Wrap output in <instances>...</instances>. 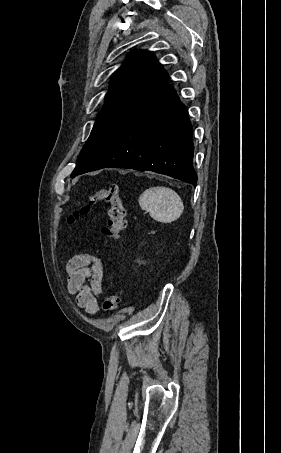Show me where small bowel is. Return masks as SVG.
Listing matches in <instances>:
<instances>
[{
	"label": "small bowel",
	"instance_id": "c3829d8e",
	"mask_svg": "<svg viewBox=\"0 0 281 453\" xmlns=\"http://www.w3.org/2000/svg\"><path fill=\"white\" fill-rule=\"evenodd\" d=\"M103 260L93 253L73 255L67 266V287L75 296L77 305L85 313L94 315L99 311L97 296L101 293Z\"/></svg>",
	"mask_w": 281,
	"mask_h": 453
}]
</instances>
